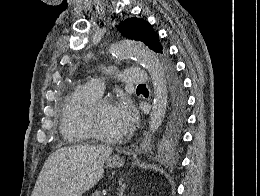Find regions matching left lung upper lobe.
<instances>
[{
    "label": "left lung upper lobe",
    "mask_w": 260,
    "mask_h": 196,
    "mask_svg": "<svg viewBox=\"0 0 260 196\" xmlns=\"http://www.w3.org/2000/svg\"><path fill=\"white\" fill-rule=\"evenodd\" d=\"M117 28L125 38L143 42L161 57L166 76L165 110L152 145L155 150L173 151L181 141L182 128L186 120V98L174 64L166 47L159 41L158 34L146 20L131 17L122 21Z\"/></svg>",
    "instance_id": "5c2ea615"
}]
</instances>
